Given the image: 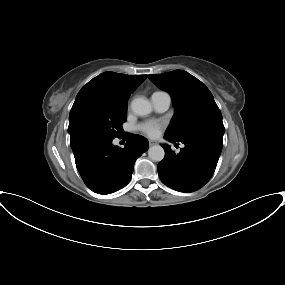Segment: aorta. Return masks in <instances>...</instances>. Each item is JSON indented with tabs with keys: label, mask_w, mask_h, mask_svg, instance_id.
<instances>
[{
	"label": "aorta",
	"mask_w": 285,
	"mask_h": 285,
	"mask_svg": "<svg viewBox=\"0 0 285 285\" xmlns=\"http://www.w3.org/2000/svg\"><path fill=\"white\" fill-rule=\"evenodd\" d=\"M131 109L138 116H145L151 113L152 106L147 98H135L131 103ZM148 156L153 161H161L165 156V151L160 145H154L149 148Z\"/></svg>",
	"instance_id": "obj_1"
}]
</instances>
